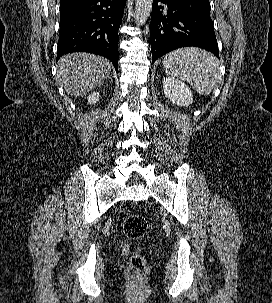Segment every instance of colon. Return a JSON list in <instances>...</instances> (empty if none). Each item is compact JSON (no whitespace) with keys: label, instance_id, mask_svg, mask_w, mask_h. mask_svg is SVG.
<instances>
[{"label":"colon","instance_id":"5ec220e1","mask_svg":"<svg viewBox=\"0 0 272 303\" xmlns=\"http://www.w3.org/2000/svg\"><path fill=\"white\" fill-rule=\"evenodd\" d=\"M148 229L147 220L138 214H129L123 222V230L127 237L131 239L142 238ZM146 262L139 253H133L130 257V269L134 276H140L145 270Z\"/></svg>","mask_w":272,"mask_h":303}]
</instances>
